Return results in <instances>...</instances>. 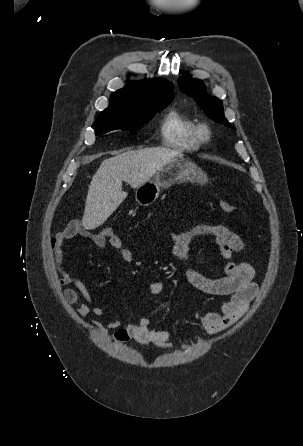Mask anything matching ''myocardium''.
<instances>
[{
  "label": "myocardium",
  "mask_w": 303,
  "mask_h": 446,
  "mask_svg": "<svg viewBox=\"0 0 303 446\" xmlns=\"http://www.w3.org/2000/svg\"><path fill=\"white\" fill-rule=\"evenodd\" d=\"M197 134L201 142H208L212 136L210 126L203 122L197 125Z\"/></svg>",
  "instance_id": "f54148a6"
}]
</instances>
